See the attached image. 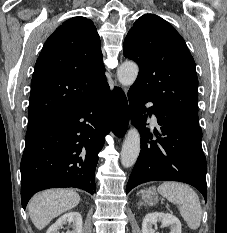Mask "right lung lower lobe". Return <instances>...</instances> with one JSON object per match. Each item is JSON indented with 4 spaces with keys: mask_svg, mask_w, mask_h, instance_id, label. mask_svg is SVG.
<instances>
[{
    "mask_svg": "<svg viewBox=\"0 0 227 233\" xmlns=\"http://www.w3.org/2000/svg\"><path fill=\"white\" fill-rule=\"evenodd\" d=\"M128 121V105L119 109L115 90L111 94L107 84L88 100L28 128L21 160L22 207L48 188L75 187L93 194L98 153L109 127L123 136Z\"/></svg>",
    "mask_w": 227,
    "mask_h": 233,
    "instance_id": "1",
    "label": "right lung lower lobe"
}]
</instances>
